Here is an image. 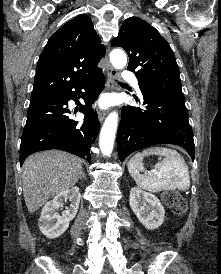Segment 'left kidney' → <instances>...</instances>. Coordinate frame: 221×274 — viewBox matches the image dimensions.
Masks as SVG:
<instances>
[{
	"label": "left kidney",
	"instance_id": "5707ae66",
	"mask_svg": "<svg viewBox=\"0 0 221 274\" xmlns=\"http://www.w3.org/2000/svg\"><path fill=\"white\" fill-rule=\"evenodd\" d=\"M129 202L132 211L145 228L157 229L164 222L165 210L155 195L133 187L130 191Z\"/></svg>",
	"mask_w": 221,
	"mask_h": 274
}]
</instances>
